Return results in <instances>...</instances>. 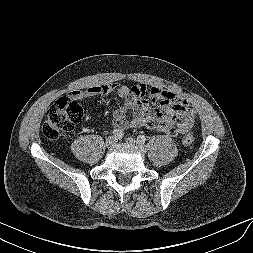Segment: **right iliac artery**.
<instances>
[{
    "label": "right iliac artery",
    "mask_w": 253,
    "mask_h": 253,
    "mask_svg": "<svg viewBox=\"0 0 253 253\" xmlns=\"http://www.w3.org/2000/svg\"><path fill=\"white\" fill-rule=\"evenodd\" d=\"M112 133L118 139H121L124 135L123 131L119 129H114Z\"/></svg>",
    "instance_id": "82829eb1"
}]
</instances>
